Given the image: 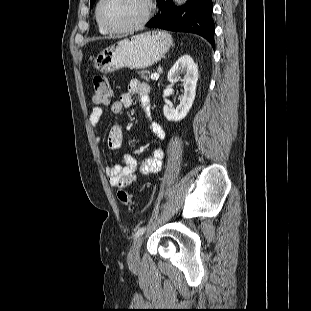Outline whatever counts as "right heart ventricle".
Here are the masks:
<instances>
[{"label":"right heart ventricle","mask_w":311,"mask_h":311,"mask_svg":"<svg viewBox=\"0 0 311 311\" xmlns=\"http://www.w3.org/2000/svg\"><path fill=\"white\" fill-rule=\"evenodd\" d=\"M97 25H98V30L101 34L103 35L108 34V31L104 29L98 22H97Z\"/></svg>","instance_id":"obj_1"}]
</instances>
